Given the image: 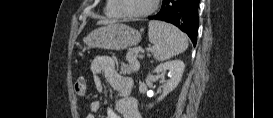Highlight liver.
<instances>
[{
	"mask_svg": "<svg viewBox=\"0 0 273 118\" xmlns=\"http://www.w3.org/2000/svg\"><path fill=\"white\" fill-rule=\"evenodd\" d=\"M112 22L109 21V20H102V21H99L98 24H104V25H107V24H111Z\"/></svg>",
	"mask_w": 273,
	"mask_h": 118,
	"instance_id": "6515ba94",
	"label": "liver"
}]
</instances>
